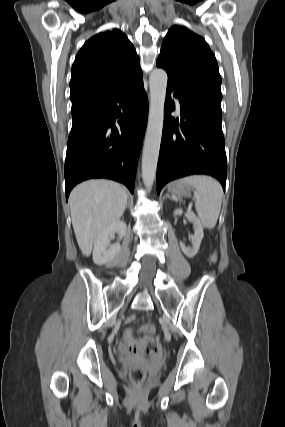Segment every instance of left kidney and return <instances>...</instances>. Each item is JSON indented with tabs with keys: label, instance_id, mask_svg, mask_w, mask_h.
Instances as JSON below:
<instances>
[{
	"label": "left kidney",
	"instance_id": "obj_1",
	"mask_svg": "<svg viewBox=\"0 0 285 427\" xmlns=\"http://www.w3.org/2000/svg\"><path fill=\"white\" fill-rule=\"evenodd\" d=\"M182 210L181 209H176L174 211V216L178 215V214H182ZM186 218L188 219L189 222H191L193 224V228H194V235L191 238L192 241V247H185L184 244L180 243L181 249L183 251V253L189 257V258H193L200 247L201 241L203 239L204 233H203V226L200 222V220L195 216L194 213L192 212H187L185 213Z\"/></svg>",
	"mask_w": 285,
	"mask_h": 427
}]
</instances>
